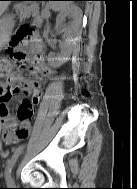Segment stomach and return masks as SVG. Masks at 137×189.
<instances>
[{
  "label": "stomach",
  "mask_w": 137,
  "mask_h": 189,
  "mask_svg": "<svg viewBox=\"0 0 137 189\" xmlns=\"http://www.w3.org/2000/svg\"><path fill=\"white\" fill-rule=\"evenodd\" d=\"M13 28V21L10 16H4L0 19V40L3 37H8ZM3 41V40H2Z\"/></svg>",
  "instance_id": "stomach-1"
}]
</instances>
